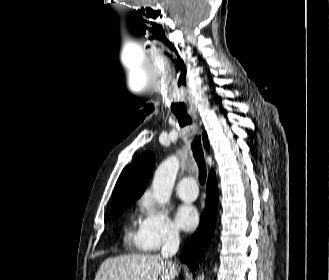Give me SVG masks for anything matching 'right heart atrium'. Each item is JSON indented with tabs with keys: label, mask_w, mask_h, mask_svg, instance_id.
I'll return each mask as SVG.
<instances>
[{
	"label": "right heart atrium",
	"mask_w": 329,
	"mask_h": 280,
	"mask_svg": "<svg viewBox=\"0 0 329 280\" xmlns=\"http://www.w3.org/2000/svg\"><path fill=\"white\" fill-rule=\"evenodd\" d=\"M141 207L144 211L141 230L148 250L156 251L179 240L178 227L149 195L142 198Z\"/></svg>",
	"instance_id": "d8ad5b80"
}]
</instances>
